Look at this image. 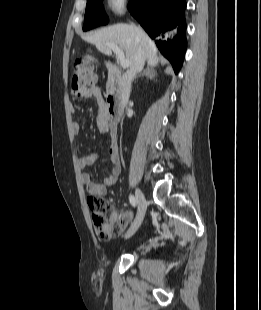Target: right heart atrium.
<instances>
[{"instance_id": "d8ad5b80", "label": "right heart atrium", "mask_w": 261, "mask_h": 310, "mask_svg": "<svg viewBox=\"0 0 261 310\" xmlns=\"http://www.w3.org/2000/svg\"><path fill=\"white\" fill-rule=\"evenodd\" d=\"M128 2L129 0H106L108 9L116 16L122 15L125 12Z\"/></svg>"}]
</instances>
